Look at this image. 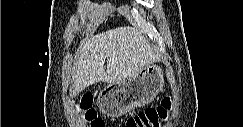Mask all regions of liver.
I'll return each instance as SVG.
<instances>
[{
	"instance_id": "liver-1",
	"label": "liver",
	"mask_w": 243,
	"mask_h": 127,
	"mask_svg": "<svg viewBox=\"0 0 243 127\" xmlns=\"http://www.w3.org/2000/svg\"><path fill=\"white\" fill-rule=\"evenodd\" d=\"M158 60L147 38L136 28L117 27L96 34L79 48L72 96L97 82L113 84L134 78Z\"/></svg>"
}]
</instances>
